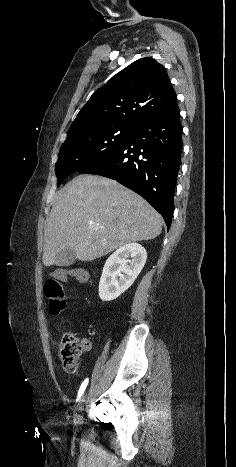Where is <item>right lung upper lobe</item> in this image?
Returning a JSON list of instances; mask_svg holds the SVG:
<instances>
[{
  "label": "right lung upper lobe",
  "mask_w": 236,
  "mask_h": 467,
  "mask_svg": "<svg viewBox=\"0 0 236 467\" xmlns=\"http://www.w3.org/2000/svg\"><path fill=\"white\" fill-rule=\"evenodd\" d=\"M176 104L177 95L165 68L145 57L121 70L92 94L68 135L114 125L137 128Z\"/></svg>",
  "instance_id": "right-lung-upper-lobe-1"
}]
</instances>
